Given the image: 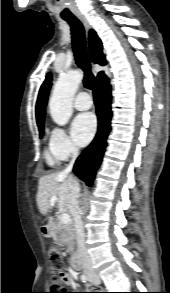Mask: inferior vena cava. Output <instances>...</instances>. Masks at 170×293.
Returning a JSON list of instances; mask_svg holds the SVG:
<instances>
[{"label":"inferior vena cava","mask_w":170,"mask_h":293,"mask_svg":"<svg viewBox=\"0 0 170 293\" xmlns=\"http://www.w3.org/2000/svg\"><path fill=\"white\" fill-rule=\"evenodd\" d=\"M72 154V160L70 161L67 168L63 171L64 174L69 175V177L72 179V176L70 175L74 162L78 156V148L73 147L71 149ZM80 197V186L77 182H73V185L71 186V203H72V215L74 217L75 222V229H76V238H77V247H78V254L81 257L82 266L84 270L90 271L92 270V262L88 255L86 244H85V232L81 217V211L79 208V201L78 198Z\"/></svg>","instance_id":"obj_1"}]
</instances>
